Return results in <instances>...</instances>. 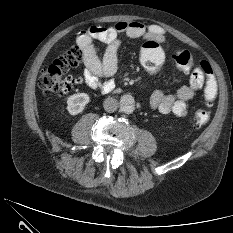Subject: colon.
Wrapping results in <instances>:
<instances>
[{
    "label": "colon",
    "mask_w": 233,
    "mask_h": 233,
    "mask_svg": "<svg viewBox=\"0 0 233 233\" xmlns=\"http://www.w3.org/2000/svg\"><path fill=\"white\" fill-rule=\"evenodd\" d=\"M84 52L80 47H73L58 56L49 66L44 68L39 77V87L46 93L64 95L68 93L79 79L69 76L71 69L77 67L83 59ZM141 64L148 73H156L165 60L163 43L156 39H147L141 49ZM173 60L178 69L189 72L193 60L191 54L184 49H177L173 53ZM199 69L206 78L205 100L211 104L216 97L217 86L213 70L207 61L198 64ZM210 113L205 109H198L192 116L191 122L194 127L199 128L208 123Z\"/></svg>",
    "instance_id": "obj_1"
}]
</instances>
